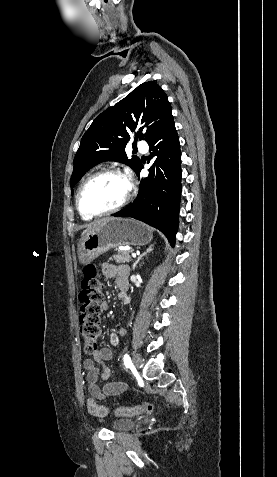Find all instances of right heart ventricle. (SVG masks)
<instances>
[{"label": "right heart ventricle", "mask_w": 277, "mask_h": 477, "mask_svg": "<svg viewBox=\"0 0 277 477\" xmlns=\"http://www.w3.org/2000/svg\"><path fill=\"white\" fill-rule=\"evenodd\" d=\"M81 216H82V218L85 219V220L91 219V217H87V216H83V215H81Z\"/></svg>", "instance_id": "1"}]
</instances>
